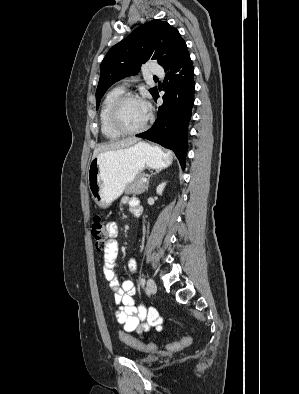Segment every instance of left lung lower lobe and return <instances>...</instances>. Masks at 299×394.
Instances as JSON below:
<instances>
[{"mask_svg": "<svg viewBox=\"0 0 299 394\" xmlns=\"http://www.w3.org/2000/svg\"><path fill=\"white\" fill-rule=\"evenodd\" d=\"M166 76L163 85L165 94L163 104L159 107L154 125L137 137L156 142L174 151L185 168L187 153L188 123L194 103V69L190 55L185 46L177 58L164 68ZM158 91L153 95L155 101Z\"/></svg>", "mask_w": 299, "mask_h": 394, "instance_id": "0a47b994", "label": "left lung lower lobe"}]
</instances>
